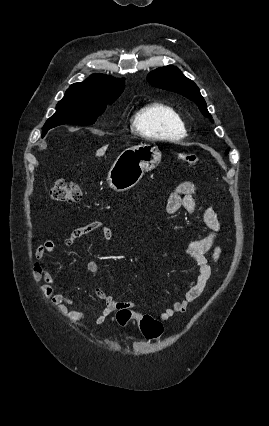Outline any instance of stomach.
<instances>
[{"label":"stomach","instance_id":"1","mask_svg":"<svg viewBox=\"0 0 269 426\" xmlns=\"http://www.w3.org/2000/svg\"><path fill=\"white\" fill-rule=\"evenodd\" d=\"M161 160L157 146L140 144L123 151L108 173V184L117 192L134 187L145 172L154 169Z\"/></svg>","mask_w":269,"mask_h":426}]
</instances>
